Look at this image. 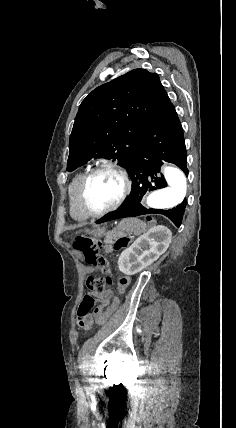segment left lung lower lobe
<instances>
[{
	"label": "left lung lower lobe",
	"instance_id": "1",
	"mask_svg": "<svg viewBox=\"0 0 236 428\" xmlns=\"http://www.w3.org/2000/svg\"><path fill=\"white\" fill-rule=\"evenodd\" d=\"M161 160L177 165L188 175L183 129L173 104L144 129L137 143V149L126 168L132 179V189L126 202L96 223L145 214H163L179 227L186 199L176 208L169 210L147 209L140 204L147 191L167 186L164 176L159 173Z\"/></svg>",
	"mask_w": 236,
	"mask_h": 428
}]
</instances>
